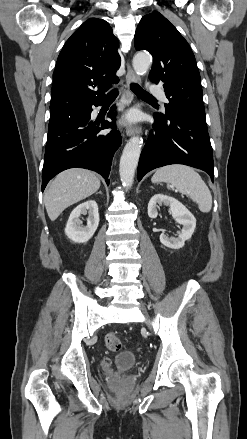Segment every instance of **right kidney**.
<instances>
[{
    "mask_svg": "<svg viewBox=\"0 0 247 439\" xmlns=\"http://www.w3.org/2000/svg\"><path fill=\"white\" fill-rule=\"evenodd\" d=\"M88 215L87 225L83 226L81 215ZM99 225L98 205L88 200L78 205L70 214L65 228L67 237L76 243H85L92 238Z\"/></svg>",
    "mask_w": 247,
    "mask_h": 439,
    "instance_id": "ca27d5eb",
    "label": "right kidney"
}]
</instances>
